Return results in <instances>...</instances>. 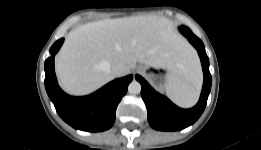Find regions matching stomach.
I'll return each instance as SVG.
<instances>
[{
	"instance_id": "1",
	"label": "stomach",
	"mask_w": 261,
	"mask_h": 150,
	"mask_svg": "<svg viewBox=\"0 0 261 150\" xmlns=\"http://www.w3.org/2000/svg\"><path fill=\"white\" fill-rule=\"evenodd\" d=\"M142 68L146 77L158 89L165 88L169 78L173 75L170 71H167L165 74L162 73L159 67L143 65ZM147 70H150L149 73H146Z\"/></svg>"
}]
</instances>
